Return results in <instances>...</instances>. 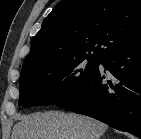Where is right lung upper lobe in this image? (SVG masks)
Instances as JSON below:
<instances>
[{"mask_svg":"<svg viewBox=\"0 0 141 139\" xmlns=\"http://www.w3.org/2000/svg\"><path fill=\"white\" fill-rule=\"evenodd\" d=\"M139 41L141 0H65L43 21L22 70L82 56L102 59Z\"/></svg>","mask_w":141,"mask_h":139,"instance_id":"right-lung-upper-lobe-1","label":"right lung upper lobe"}]
</instances>
